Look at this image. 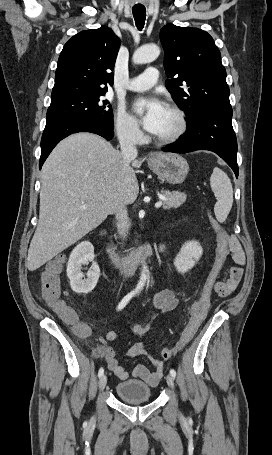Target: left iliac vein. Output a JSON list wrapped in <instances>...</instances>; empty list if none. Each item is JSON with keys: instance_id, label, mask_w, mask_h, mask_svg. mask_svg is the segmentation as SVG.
<instances>
[{"instance_id": "4c4485c4", "label": "left iliac vein", "mask_w": 272, "mask_h": 455, "mask_svg": "<svg viewBox=\"0 0 272 455\" xmlns=\"http://www.w3.org/2000/svg\"><path fill=\"white\" fill-rule=\"evenodd\" d=\"M166 381L170 388H174V377L171 374L167 375Z\"/></svg>"}]
</instances>
